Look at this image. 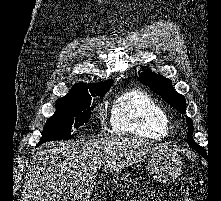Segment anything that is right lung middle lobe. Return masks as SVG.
Listing matches in <instances>:
<instances>
[{
    "label": "right lung middle lobe",
    "mask_w": 221,
    "mask_h": 201,
    "mask_svg": "<svg viewBox=\"0 0 221 201\" xmlns=\"http://www.w3.org/2000/svg\"><path fill=\"white\" fill-rule=\"evenodd\" d=\"M106 92L107 90L81 98L63 97L58 99L56 112L47 120L38 144L50 140H68L72 128H78L89 120L92 97H103Z\"/></svg>",
    "instance_id": "obj_1"
}]
</instances>
